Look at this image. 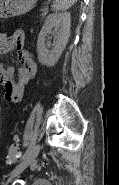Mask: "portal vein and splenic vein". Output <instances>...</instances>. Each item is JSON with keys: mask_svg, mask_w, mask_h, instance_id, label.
<instances>
[{"mask_svg": "<svg viewBox=\"0 0 119 185\" xmlns=\"http://www.w3.org/2000/svg\"><path fill=\"white\" fill-rule=\"evenodd\" d=\"M42 11H44V13L46 12V9H43Z\"/></svg>", "mask_w": 119, "mask_h": 185, "instance_id": "obj_1", "label": "portal vein and splenic vein"}]
</instances>
